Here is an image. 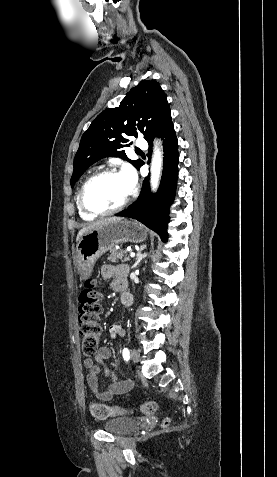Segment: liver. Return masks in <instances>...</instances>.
<instances>
[{"instance_id":"1","label":"liver","mask_w":277,"mask_h":477,"mask_svg":"<svg viewBox=\"0 0 277 477\" xmlns=\"http://www.w3.org/2000/svg\"><path fill=\"white\" fill-rule=\"evenodd\" d=\"M119 220H123V218L121 217H112V218H107V219H103V220H100V221H97L95 223H92L84 228H82L79 232H78V235H77V238L76 240L78 241L79 237L81 235H83L84 233L88 232L89 230L93 229L94 227L100 225V224H103L105 222H109V221H119Z\"/></svg>"}]
</instances>
